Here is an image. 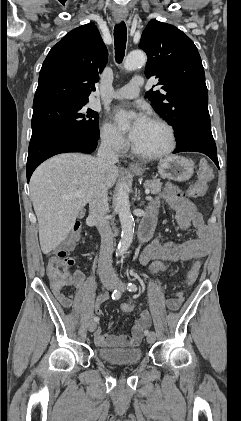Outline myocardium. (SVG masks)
I'll return each instance as SVG.
<instances>
[{"label":"myocardium","mask_w":241,"mask_h":421,"mask_svg":"<svg viewBox=\"0 0 241 421\" xmlns=\"http://www.w3.org/2000/svg\"><path fill=\"white\" fill-rule=\"evenodd\" d=\"M148 121H151L153 123L159 124L162 127H164L168 134V144L167 146L158 152H144L138 149L135 144H132V151L137 156L144 158V159H159L164 156H167L170 154L176 147V133L174 127L167 122L166 120L160 118V117H151Z\"/></svg>","instance_id":"f54148a6"}]
</instances>
